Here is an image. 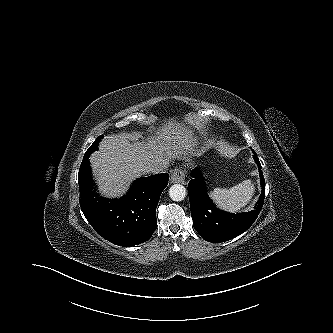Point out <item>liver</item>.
I'll list each match as a JSON object with an SVG mask.
<instances>
[{"mask_svg": "<svg viewBox=\"0 0 333 333\" xmlns=\"http://www.w3.org/2000/svg\"><path fill=\"white\" fill-rule=\"evenodd\" d=\"M197 141L193 130L175 120L164 123L148 142H138L134 134L105 136L99 150L90 156L99 191L109 198L123 196L129 184L146 172L149 163L164 161L169 165L183 155L199 156L203 149H194Z\"/></svg>", "mask_w": 333, "mask_h": 333, "instance_id": "obj_1", "label": "liver"}]
</instances>
